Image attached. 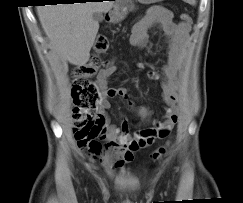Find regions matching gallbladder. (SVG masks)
I'll use <instances>...</instances> for the list:
<instances>
[{
  "instance_id": "gallbladder-1",
  "label": "gallbladder",
  "mask_w": 243,
  "mask_h": 203,
  "mask_svg": "<svg viewBox=\"0 0 243 203\" xmlns=\"http://www.w3.org/2000/svg\"><path fill=\"white\" fill-rule=\"evenodd\" d=\"M93 19H94L95 21H97V22H100V21H102L103 16H102V14L99 13V12H94V13H93Z\"/></svg>"
}]
</instances>
